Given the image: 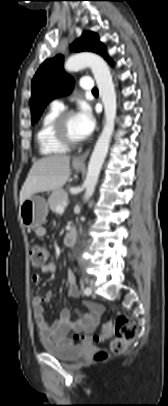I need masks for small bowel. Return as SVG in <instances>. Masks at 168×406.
Segmentation results:
<instances>
[{"instance_id": "c3829d8e", "label": "small bowel", "mask_w": 168, "mask_h": 406, "mask_svg": "<svg viewBox=\"0 0 168 406\" xmlns=\"http://www.w3.org/2000/svg\"><path fill=\"white\" fill-rule=\"evenodd\" d=\"M46 228L39 227L36 230L38 237H44L46 235ZM55 269L53 264H47L42 267L43 273H51ZM41 280V274L35 273L32 275V281L38 283ZM67 291L71 297H77L79 294L78 286L76 283L75 275L72 272L68 273L67 278ZM52 299V292L47 291L41 296H35L32 299L33 316L35 323L42 336L51 342L67 345L70 344L68 335L71 332L78 333H91L93 332L100 321L103 308L100 304L92 301H84L83 304L88 310L87 313L81 314L77 319L73 320L68 308L63 307L59 312L58 319L49 324L45 317L44 303L49 302Z\"/></svg>"}]
</instances>
